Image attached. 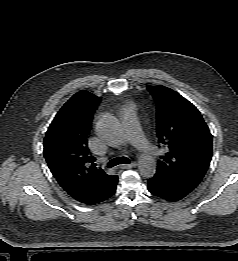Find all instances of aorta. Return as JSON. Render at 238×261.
I'll list each match as a JSON object with an SVG mask.
<instances>
[{"mask_svg":"<svg viewBox=\"0 0 238 261\" xmlns=\"http://www.w3.org/2000/svg\"><path fill=\"white\" fill-rule=\"evenodd\" d=\"M98 130L102 137L108 141H119L122 131L117 119L112 115H106L99 123ZM138 169L144 178H151L156 172V162L153 157L142 154L138 158Z\"/></svg>","mask_w":238,"mask_h":261,"instance_id":"762f6f07","label":"aorta"}]
</instances>
